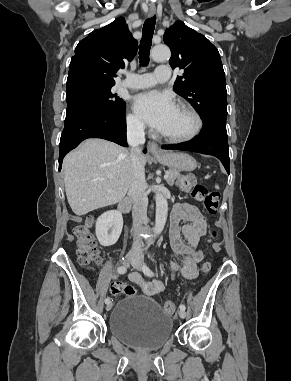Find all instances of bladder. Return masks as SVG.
<instances>
[{
    "instance_id": "obj_1",
    "label": "bladder",
    "mask_w": 291,
    "mask_h": 381,
    "mask_svg": "<svg viewBox=\"0 0 291 381\" xmlns=\"http://www.w3.org/2000/svg\"><path fill=\"white\" fill-rule=\"evenodd\" d=\"M109 333L138 350L161 348L172 337L171 316L149 295L120 300L109 316Z\"/></svg>"
}]
</instances>
